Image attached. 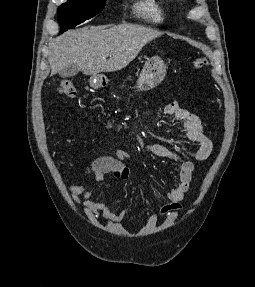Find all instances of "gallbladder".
Listing matches in <instances>:
<instances>
[{
  "instance_id": "obj_1",
  "label": "gallbladder",
  "mask_w": 255,
  "mask_h": 287,
  "mask_svg": "<svg viewBox=\"0 0 255 287\" xmlns=\"http://www.w3.org/2000/svg\"><path fill=\"white\" fill-rule=\"evenodd\" d=\"M79 68L78 66H66V68H62V70H59L58 74L61 76V78H67V76H75V74H78Z\"/></svg>"
}]
</instances>
